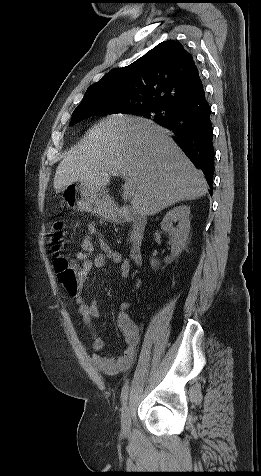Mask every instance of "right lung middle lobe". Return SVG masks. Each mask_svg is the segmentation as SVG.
<instances>
[{"label":"right lung middle lobe","mask_w":261,"mask_h":476,"mask_svg":"<svg viewBox=\"0 0 261 476\" xmlns=\"http://www.w3.org/2000/svg\"><path fill=\"white\" fill-rule=\"evenodd\" d=\"M174 110V108L163 105H148L141 106L134 110H127L126 107L120 105L88 104L74 110L70 125L92 115L113 113L133 114L157 121L169 117Z\"/></svg>","instance_id":"1"}]
</instances>
